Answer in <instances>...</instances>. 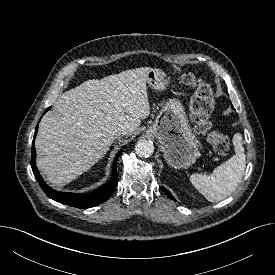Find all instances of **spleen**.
<instances>
[{
    "instance_id": "obj_1",
    "label": "spleen",
    "mask_w": 275,
    "mask_h": 275,
    "mask_svg": "<svg viewBox=\"0 0 275 275\" xmlns=\"http://www.w3.org/2000/svg\"><path fill=\"white\" fill-rule=\"evenodd\" d=\"M235 155L216 167L211 175L192 174L190 182L210 202H219L228 197L241 181L245 167L246 156L242 145V135L233 136Z\"/></svg>"
}]
</instances>
